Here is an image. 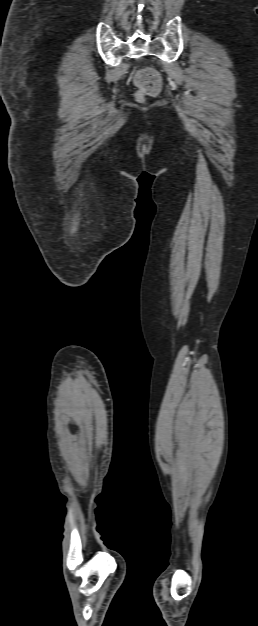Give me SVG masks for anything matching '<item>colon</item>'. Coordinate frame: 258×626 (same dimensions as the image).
<instances>
[{
    "label": "colon",
    "mask_w": 258,
    "mask_h": 626,
    "mask_svg": "<svg viewBox=\"0 0 258 626\" xmlns=\"http://www.w3.org/2000/svg\"><path fill=\"white\" fill-rule=\"evenodd\" d=\"M135 81L141 94H156L161 87V79L158 73L152 69H146L137 73Z\"/></svg>",
    "instance_id": "colon-1"
}]
</instances>
